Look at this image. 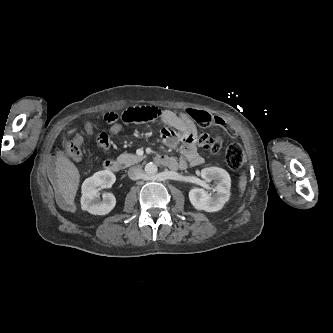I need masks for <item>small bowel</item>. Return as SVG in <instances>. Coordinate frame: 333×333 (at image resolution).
<instances>
[{
    "label": "small bowel",
    "mask_w": 333,
    "mask_h": 333,
    "mask_svg": "<svg viewBox=\"0 0 333 333\" xmlns=\"http://www.w3.org/2000/svg\"><path fill=\"white\" fill-rule=\"evenodd\" d=\"M156 108L161 111V116L158 118L171 128L169 131H164V140L166 145L173 148L181 142L180 151L183 155L182 158L177 159L165 155L157 157L158 162L171 169H185L188 164L197 166L204 163V159L199 154L196 147V132L192 128L193 122L204 127L220 126L230 138L236 139L238 137L235 130L231 128L230 125L224 121V119L217 116L214 117L206 111L187 110L185 114H179L171 110L160 109L158 107ZM121 122L128 123L119 119L110 129L113 134H117L121 130ZM72 157L75 161L80 160V154Z\"/></svg>",
    "instance_id": "obj_1"
}]
</instances>
